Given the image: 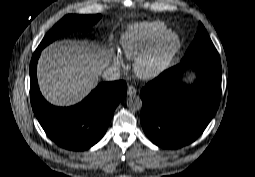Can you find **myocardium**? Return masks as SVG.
Here are the masks:
<instances>
[{"mask_svg":"<svg viewBox=\"0 0 255 177\" xmlns=\"http://www.w3.org/2000/svg\"><path fill=\"white\" fill-rule=\"evenodd\" d=\"M167 41H173V46L152 67H147L148 61ZM181 48L178 35L172 31H166L157 37L137 58L134 64L135 75L142 80H151L159 76L170 64Z\"/></svg>","mask_w":255,"mask_h":177,"instance_id":"obj_1","label":"myocardium"}]
</instances>
